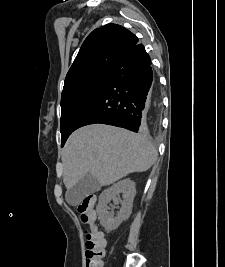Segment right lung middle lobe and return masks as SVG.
<instances>
[{
    "label": "right lung middle lobe",
    "mask_w": 225,
    "mask_h": 267,
    "mask_svg": "<svg viewBox=\"0 0 225 267\" xmlns=\"http://www.w3.org/2000/svg\"><path fill=\"white\" fill-rule=\"evenodd\" d=\"M108 75L109 73H104L88 77L63 89L61 96L62 146L75 130L78 119L93 101Z\"/></svg>",
    "instance_id": "1"
}]
</instances>
